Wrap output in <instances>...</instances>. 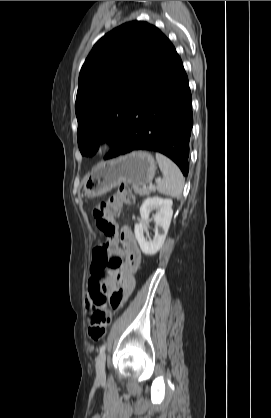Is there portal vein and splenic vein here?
Segmentation results:
<instances>
[{
  "label": "portal vein and splenic vein",
  "instance_id": "obj_1",
  "mask_svg": "<svg viewBox=\"0 0 271 418\" xmlns=\"http://www.w3.org/2000/svg\"><path fill=\"white\" fill-rule=\"evenodd\" d=\"M160 181H161V178H157V179H156V183H158V182H160ZM149 188H150V189L154 188V185H153V184H150V185H149Z\"/></svg>",
  "mask_w": 271,
  "mask_h": 418
}]
</instances>
